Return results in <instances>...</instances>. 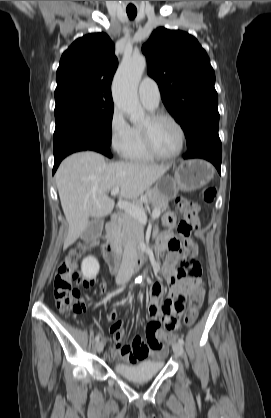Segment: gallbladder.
Returning <instances> with one entry per match:
<instances>
[{
    "label": "gallbladder",
    "mask_w": 271,
    "mask_h": 418,
    "mask_svg": "<svg viewBox=\"0 0 271 418\" xmlns=\"http://www.w3.org/2000/svg\"><path fill=\"white\" fill-rule=\"evenodd\" d=\"M102 226V219L101 218H94L88 227V235H98L101 231Z\"/></svg>",
    "instance_id": "obj_1"
}]
</instances>
